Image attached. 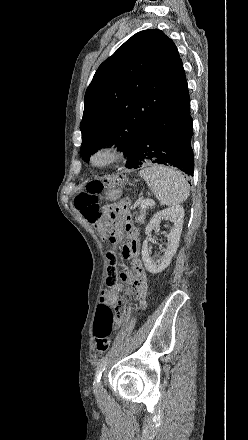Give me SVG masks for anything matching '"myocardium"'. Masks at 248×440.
Returning a JSON list of instances; mask_svg holds the SVG:
<instances>
[{
    "mask_svg": "<svg viewBox=\"0 0 248 440\" xmlns=\"http://www.w3.org/2000/svg\"><path fill=\"white\" fill-rule=\"evenodd\" d=\"M123 157L124 152L117 144L105 142L91 150L87 163L94 170L104 171L117 165Z\"/></svg>",
    "mask_w": 248,
    "mask_h": 440,
    "instance_id": "f54148a6",
    "label": "myocardium"
}]
</instances>
